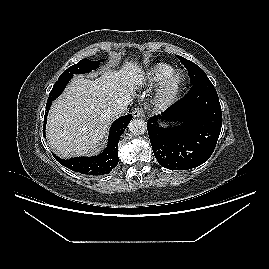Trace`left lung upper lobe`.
<instances>
[{"label": "left lung upper lobe", "instance_id": "1", "mask_svg": "<svg viewBox=\"0 0 269 269\" xmlns=\"http://www.w3.org/2000/svg\"><path fill=\"white\" fill-rule=\"evenodd\" d=\"M176 56L182 62V64H184V66L188 70L191 84H195L201 80L208 79L206 73L199 66H197L195 63H193V62H191V61H189L181 56H178V55H176Z\"/></svg>", "mask_w": 269, "mask_h": 269}]
</instances>
